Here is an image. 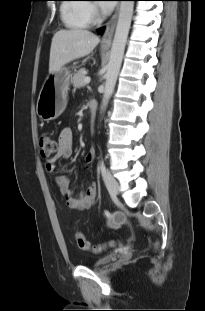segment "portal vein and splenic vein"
<instances>
[{"instance_id": "portal-vein-and-splenic-vein-1", "label": "portal vein and splenic vein", "mask_w": 205, "mask_h": 311, "mask_svg": "<svg viewBox=\"0 0 205 311\" xmlns=\"http://www.w3.org/2000/svg\"><path fill=\"white\" fill-rule=\"evenodd\" d=\"M90 81H91L90 77H85V79H84L85 84H89Z\"/></svg>"}]
</instances>
